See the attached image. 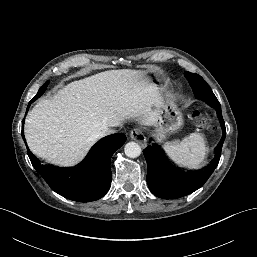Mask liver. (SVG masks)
Segmentation results:
<instances>
[{"label":"liver","instance_id":"1","mask_svg":"<svg viewBox=\"0 0 257 257\" xmlns=\"http://www.w3.org/2000/svg\"><path fill=\"white\" fill-rule=\"evenodd\" d=\"M161 92L145 71L109 70L60 89L29 112L25 136L32 152L60 167L78 163L102 132L126 119L154 126Z\"/></svg>","mask_w":257,"mask_h":257}]
</instances>
